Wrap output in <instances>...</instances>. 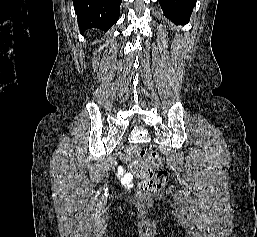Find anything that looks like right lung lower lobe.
<instances>
[{"label": "right lung lower lobe", "instance_id": "obj_1", "mask_svg": "<svg viewBox=\"0 0 257 237\" xmlns=\"http://www.w3.org/2000/svg\"><path fill=\"white\" fill-rule=\"evenodd\" d=\"M121 2L122 0H73L80 31L90 28L108 31L119 18Z\"/></svg>", "mask_w": 257, "mask_h": 237}]
</instances>
